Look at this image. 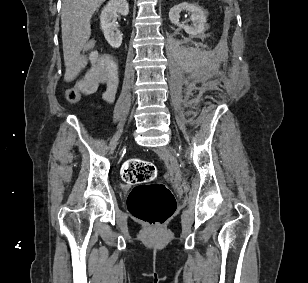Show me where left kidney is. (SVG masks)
<instances>
[{"instance_id": "obj_1", "label": "left kidney", "mask_w": 308, "mask_h": 283, "mask_svg": "<svg viewBox=\"0 0 308 283\" xmlns=\"http://www.w3.org/2000/svg\"><path fill=\"white\" fill-rule=\"evenodd\" d=\"M184 10L191 12V26L181 24L179 22L180 13ZM169 19L173 24L183 28L186 33L192 36L201 34L205 30L206 16L203 9L198 5L189 4L186 2L180 3L170 9Z\"/></svg>"}]
</instances>
